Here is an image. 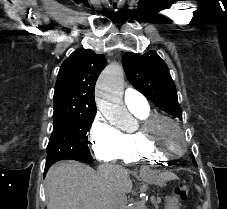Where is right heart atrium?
Instances as JSON below:
<instances>
[{"mask_svg":"<svg viewBox=\"0 0 227 209\" xmlns=\"http://www.w3.org/2000/svg\"><path fill=\"white\" fill-rule=\"evenodd\" d=\"M92 150L100 161L115 160L122 145V132L108 120L98 117L90 132Z\"/></svg>","mask_w":227,"mask_h":209,"instance_id":"obj_1","label":"right heart atrium"}]
</instances>
